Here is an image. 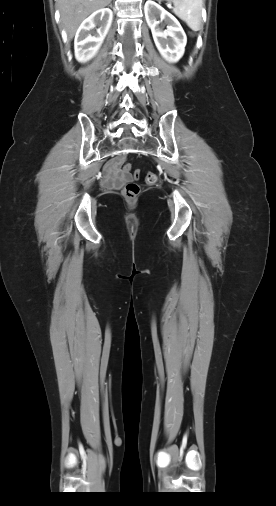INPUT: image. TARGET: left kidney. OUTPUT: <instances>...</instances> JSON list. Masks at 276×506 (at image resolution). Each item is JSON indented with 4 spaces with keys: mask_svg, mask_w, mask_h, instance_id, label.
<instances>
[{
    "mask_svg": "<svg viewBox=\"0 0 276 506\" xmlns=\"http://www.w3.org/2000/svg\"><path fill=\"white\" fill-rule=\"evenodd\" d=\"M145 18L151 29L155 45L164 59L169 62H177L183 56L187 43L186 34L179 21L163 7L152 0H148L144 6ZM165 21L167 29L159 27V21Z\"/></svg>",
    "mask_w": 276,
    "mask_h": 506,
    "instance_id": "5707ae66",
    "label": "left kidney"
}]
</instances>
